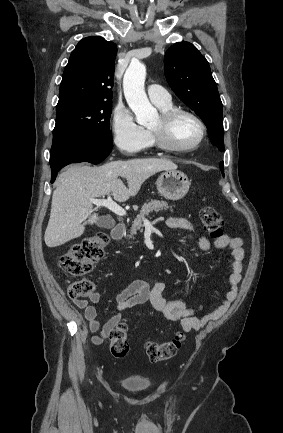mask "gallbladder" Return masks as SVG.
<instances>
[{
	"mask_svg": "<svg viewBox=\"0 0 283 433\" xmlns=\"http://www.w3.org/2000/svg\"><path fill=\"white\" fill-rule=\"evenodd\" d=\"M96 225L97 227H102V229H113L115 221L111 217H99Z\"/></svg>",
	"mask_w": 283,
	"mask_h": 433,
	"instance_id": "obj_1",
	"label": "gallbladder"
}]
</instances>
